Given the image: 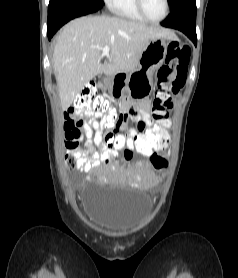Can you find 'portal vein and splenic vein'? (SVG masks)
<instances>
[{
	"instance_id": "18ae733b",
	"label": "portal vein and splenic vein",
	"mask_w": 238,
	"mask_h": 278,
	"mask_svg": "<svg viewBox=\"0 0 238 278\" xmlns=\"http://www.w3.org/2000/svg\"><path fill=\"white\" fill-rule=\"evenodd\" d=\"M109 53H110V47L108 45H106L104 48H103V51H102V55L103 56H109Z\"/></svg>"
}]
</instances>
